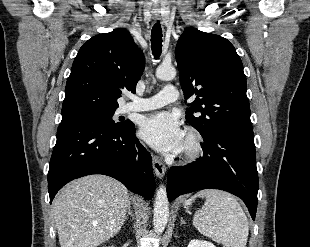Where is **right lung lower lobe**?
<instances>
[{"instance_id": "obj_1", "label": "right lung lower lobe", "mask_w": 310, "mask_h": 247, "mask_svg": "<svg viewBox=\"0 0 310 247\" xmlns=\"http://www.w3.org/2000/svg\"><path fill=\"white\" fill-rule=\"evenodd\" d=\"M90 174L111 176L146 199L154 195L152 157L130 121L122 128L99 121L60 123L48 172L50 203L69 181Z\"/></svg>"}]
</instances>
